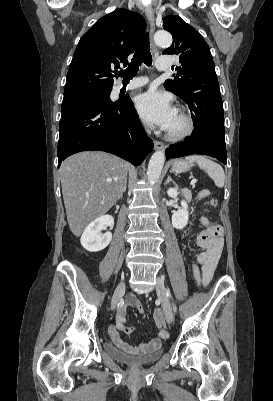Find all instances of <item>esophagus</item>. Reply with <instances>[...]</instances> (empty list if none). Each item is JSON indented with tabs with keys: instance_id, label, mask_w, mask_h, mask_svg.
<instances>
[{
	"instance_id": "1",
	"label": "esophagus",
	"mask_w": 273,
	"mask_h": 401,
	"mask_svg": "<svg viewBox=\"0 0 273 401\" xmlns=\"http://www.w3.org/2000/svg\"><path fill=\"white\" fill-rule=\"evenodd\" d=\"M145 15H146V17L149 21V25H150L151 49H152V52L155 53L157 51V48L154 45V41H153V36H154V32H155V18H154V12L150 6L145 8ZM154 148H156V150H162V149H164V143H162L161 141H154Z\"/></svg>"
}]
</instances>
